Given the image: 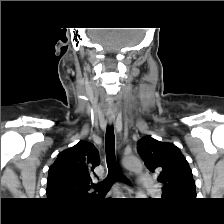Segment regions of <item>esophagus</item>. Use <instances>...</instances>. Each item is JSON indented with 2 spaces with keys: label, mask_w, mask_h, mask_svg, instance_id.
Segmentation results:
<instances>
[{
  "label": "esophagus",
  "mask_w": 224,
  "mask_h": 224,
  "mask_svg": "<svg viewBox=\"0 0 224 224\" xmlns=\"http://www.w3.org/2000/svg\"><path fill=\"white\" fill-rule=\"evenodd\" d=\"M109 123H112L114 121L113 118L108 119ZM123 188L126 190V192L131 195L133 193V187L129 184H123Z\"/></svg>",
  "instance_id": "1"
}]
</instances>
